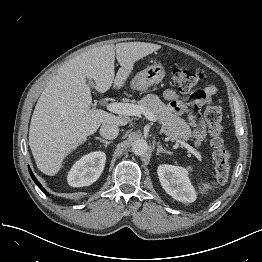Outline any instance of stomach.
Returning a JSON list of instances; mask_svg holds the SVG:
<instances>
[{
  "label": "stomach",
  "mask_w": 262,
  "mask_h": 262,
  "mask_svg": "<svg viewBox=\"0 0 262 262\" xmlns=\"http://www.w3.org/2000/svg\"><path fill=\"white\" fill-rule=\"evenodd\" d=\"M165 74V68L161 64L148 66L134 76L131 86L135 90L145 91L152 85L160 83Z\"/></svg>",
  "instance_id": "obj_1"
}]
</instances>
